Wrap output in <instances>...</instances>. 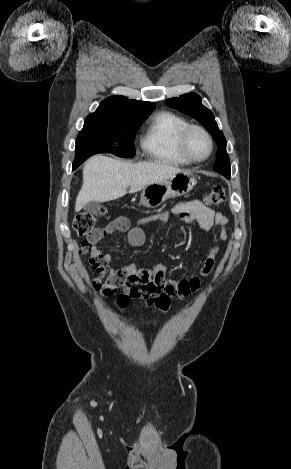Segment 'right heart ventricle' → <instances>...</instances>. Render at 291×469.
Returning <instances> with one entry per match:
<instances>
[{
    "label": "right heart ventricle",
    "instance_id": "1",
    "mask_svg": "<svg viewBox=\"0 0 291 469\" xmlns=\"http://www.w3.org/2000/svg\"><path fill=\"white\" fill-rule=\"evenodd\" d=\"M189 125L182 116L171 111H159L147 122L141 138L144 155L153 161L174 165L187 166L191 162L180 153L178 137L181 130Z\"/></svg>",
    "mask_w": 291,
    "mask_h": 469
}]
</instances>
